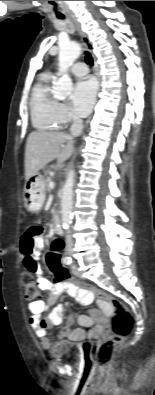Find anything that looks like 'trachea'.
<instances>
[{
  "instance_id": "obj_1",
  "label": "trachea",
  "mask_w": 155,
  "mask_h": 395,
  "mask_svg": "<svg viewBox=\"0 0 155 395\" xmlns=\"http://www.w3.org/2000/svg\"><path fill=\"white\" fill-rule=\"evenodd\" d=\"M57 17H58L59 19H64V16H63V15H58ZM85 61H86V63H87L88 65H93V58H92L91 54L88 53V52L85 53Z\"/></svg>"
}]
</instances>
